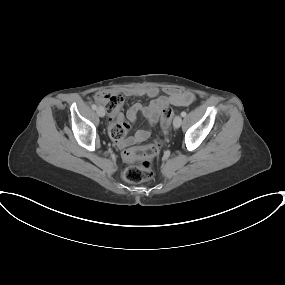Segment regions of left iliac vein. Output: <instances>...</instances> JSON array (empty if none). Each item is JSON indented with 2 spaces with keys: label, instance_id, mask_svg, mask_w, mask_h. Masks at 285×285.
Segmentation results:
<instances>
[{
  "label": "left iliac vein",
  "instance_id": "4c4485c4",
  "mask_svg": "<svg viewBox=\"0 0 285 285\" xmlns=\"http://www.w3.org/2000/svg\"><path fill=\"white\" fill-rule=\"evenodd\" d=\"M182 124V118L180 116H176L174 121H173V126L175 128H179Z\"/></svg>",
  "mask_w": 285,
  "mask_h": 285
}]
</instances>
